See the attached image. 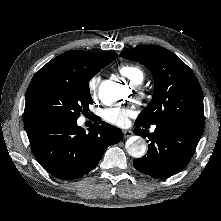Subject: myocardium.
Segmentation results:
<instances>
[{"instance_id": "1", "label": "myocardium", "mask_w": 221, "mask_h": 221, "mask_svg": "<svg viewBox=\"0 0 221 221\" xmlns=\"http://www.w3.org/2000/svg\"><path fill=\"white\" fill-rule=\"evenodd\" d=\"M134 89H135L136 93L139 96H143L144 95V90H143V88L140 85H135Z\"/></svg>"}]
</instances>
